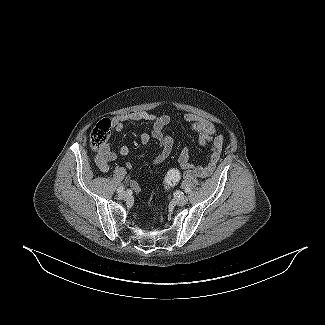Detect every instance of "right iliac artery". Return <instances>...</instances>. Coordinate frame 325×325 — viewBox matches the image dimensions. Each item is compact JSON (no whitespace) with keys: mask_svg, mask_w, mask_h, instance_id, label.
I'll return each mask as SVG.
<instances>
[{"mask_svg":"<svg viewBox=\"0 0 325 325\" xmlns=\"http://www.w3.org/2000/svg\"><path fill=\"white\" fill-rule=\"evenodd\" d=\"M124 190V186H120L118 189H117V193L118 194H121Z\"/></svg>","mask_w":325,"mask_h":325,"instance_id":"82829eb1","label":"right iliac artery"}]
</instances>
